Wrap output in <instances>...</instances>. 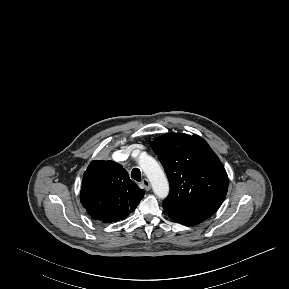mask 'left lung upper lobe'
Masks as SVG:
<instances>
[{
	"instance_id": "1",
	"label": "left lung upper lobe",
	"mask_w": 289,
	"mask_h": 289,
	"mask_svg": "<svg viewBox=\"0 0 289 289\" xmlns=\"http://www.w3.org/2000/svg\"><path fill=\"white\" fill-rule=\"evenodd\" d=\"M165 172L170 193L163 204L210 217L223 203L228 176L223 164L197 135L165 134L152 144Z\"/></svg>"
}]
</instances>
